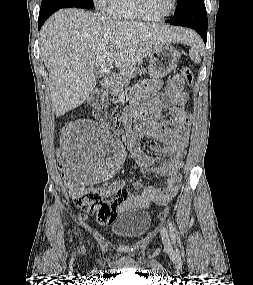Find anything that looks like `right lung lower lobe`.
Returning <instances> with one entry per match:
<instances>
[{
  "label": "right lung lower lobe",
  "mask_w": 253,
  "mask_h": 285,
  "mask_svg": "<svg viewBox=\"0 0 253 285\" xmlns=\"http://www.w3.org/2000/svg\"><path fill=\"white\" fill-rule=\"evenodd\" d=\"M59 7H49L40 10L38 18V29L42 27L44 22L51 16L55 11L59 10Z\"/></svg>",
  "instance_id": "98d812e1"
}]
</instances>
